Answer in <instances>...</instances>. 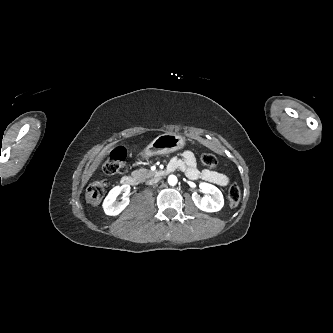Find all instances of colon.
I'll return each mask as SVG.
<instances>
[{
  "label": "colon",
  "mask_w": 333,
  "mask_h": 333,
  "mask_svg": "<svg viewBox=\"0 0 333 333\" xmlns=\"http://www.w3.org/2000/svg\"><path fill=\"white\" fill-rule=\"evenodd\" d=\"M126 149L118 147L113 150L104 164L105 173L112 175L122 173L126 169ZM201 163L213 170L217 168L218 162L216 157L210 153H202L200 157ZM107 184L104 181H96L91 183L86 190V199L89 204L98 206L106 192ZM241 192L236 184L229 187L227 191V201L230 207H236L240 201Z\"/></svg>",
  "instance_id": "colon-1"
}]
</instances>
